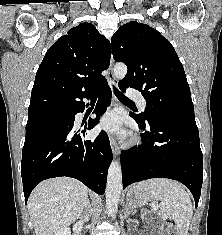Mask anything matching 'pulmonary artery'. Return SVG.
<instances>
[{
	"mask_svg": "<svg viewBox=\"0 0 222 235\" xmlns=\"http://www.w3.org/2000/svg\"><path fill=\"white\" fill-rule=\"evenodd\" d=\"M128 95L134 99L142 109H145L146 107V100L144 99V97L136 90L134 89H129L128 90Z\"/></svg>",
	"mask_w": 222,
	"mask_h": 235,
	"instance_id": "e3ab8cb5",
	"label": "pulmonary artery"
}]
</instances>
